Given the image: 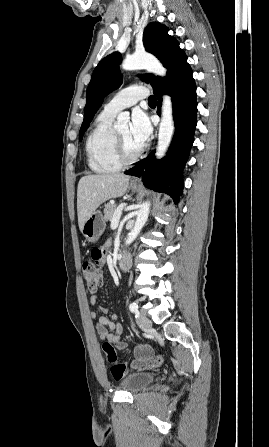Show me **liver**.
Here are the masks:
<instances>
[{"instance_id": "obj_1", "label": "liver", "mask_w": 269, "mask_h": 447, "mask_svg": "<svg viewBox=\"0 0 269 447\" xmlns=\"http://www.w3.org/2000/svg\"><path fill=\"white\" fill-rule=\"evenodd\" d=\"M128 184L129 176L124 174H97L81 178L77 190V214L81 231L96 208L106 200L124 196Z\"/></svg>"}]
</instances>
